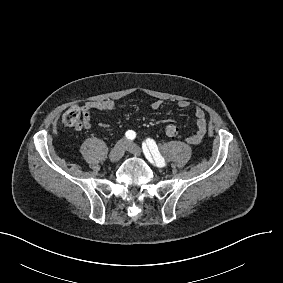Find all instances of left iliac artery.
<instances>
[{
    "label": "left iliac artery",
    "instance_id": "obj_1",
    "mask_svg": "<svg viewBox=\"0 0 283 283\" xmlns=\"http://www.w3.org/2000/svg\"><path fill=\"white\" fill-rule=\"evenodd\" d=\"M142 149H143V152H144L146 158L151 163H153V160H152V156H153V159L155 160V163L158 167H164L166 165L165 160L161 156L160 152L158 151L157 145H156L154 140L148 138L146 140V143L145 142L142 143ZM151 154H152V156H151Z\"/></svg>",
    "mask_w": 283,
    "mask_h": 283
}]
</instances>
